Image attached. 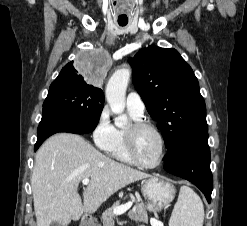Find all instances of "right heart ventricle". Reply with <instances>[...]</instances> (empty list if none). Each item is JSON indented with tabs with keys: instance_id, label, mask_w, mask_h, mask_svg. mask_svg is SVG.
Listing matches in <instances>:
<instances>
[{
	"instance_id": "1",
	"label": "right heart ventricle",
	"mask_w": 247,
	"mask_h": 226,
	"mask_svg": "<svg viewBox=\"0 0 247 226\" xmlns=\"http://www.w3.org/2000/svg\"><path fill=\"white\" fill-rule=\"evenodd\" d=\"M128 113L134 121L140 120L141 116L136 115L130 110H128ZM124 132L125 130L121 128H115L114 139L111 145L105 151L108 153L109 156H111L112 158L116 160H119L121 162L128 163V164H134L133 161L128 156V153L126 151Z\"/></svg>"
}]
</instances>
